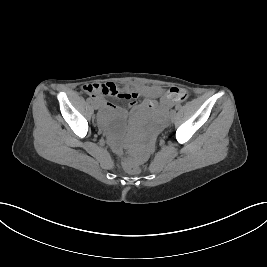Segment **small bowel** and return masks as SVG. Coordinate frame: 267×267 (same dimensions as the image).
I'll return each mask as SVG.
<instances>
[{
	"mask_svg": "<svg viewBox=\"0 0 267 267\" xmlns=\"http://www.w3.org/2000/svg\"><path fill=\"white\" fill-rule=\"evenodd\" d=\"M84 91L91 95L89 93L90 91V85L84 86ZM91 96H97V95H91ZM139 96L146 97V100L142 104H138L136 101V98ZM130 97L132 99L130 105L133 108L142 107L146 109L150 114H157V113H164L169 108H172L177 101H175L172 98L171 92L167 91L161 87L158 86H144L139 85L135 86L130 91ZM159 99V101H157ZM94 102H97L99 105H101L105 109H111V104L107 103L100 97H95ZM119 112H124L121 108H116Z\"/></svg>",
	"mask_w": 267,
	"mask_h": 267,
	"instance_id": "obj_1",
	"label": "small bowel"
}]
</instances>
